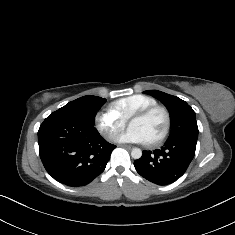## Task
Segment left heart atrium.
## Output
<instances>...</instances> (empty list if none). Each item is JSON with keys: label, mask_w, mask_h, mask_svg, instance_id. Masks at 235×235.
I'll return each mask as SVG.
<instances>
[{"label": "left heart atrium", "mask_w": 235, "mask_h": 235, "mask_svg": "<svg viewBox=\"0 0 235 235\" xmlns=\"http://www.w3.org/2000/svg\"><path fill=\"white\" fill-rule=\"evenodd\" d=\"M113 140L118 143H147L145 135L135 127H130L126 131L114 134Z\"/></svg>", "instance_id": "obj_1"}]
</instances>
